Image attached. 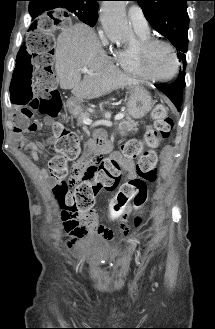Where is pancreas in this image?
Instances as JSON below:
<instances>
[{"instance_id":"cf45deb5","label":"pancreas","mask_w":215,"mask_h":329,"mask_svg":"<svg viewBox=\"0 0 215 329\" xmlns=\"http://www.w3.org/2000/svg\"><path fill=\"white\" fill-rule=\"evenodd\" d=\"M75 117L77 118V124L78 125H82L83 124V119L84 118H89L90 114L87 112H80L78 114L75 115ZM137 122H135L133 119H131L130 117H126V119H123L119 125H118V129L119 132L124 135L128 132H137Z\"/></svg>"}]
</instances>
